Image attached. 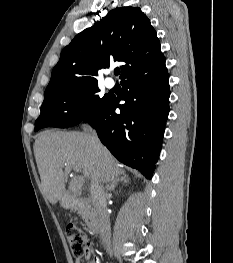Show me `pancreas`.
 I'll return each instance as SVG.
<instances>
[{
  "mask_svg": "<svg viewBox=\"0 0 233 263\" xmlns=\"http://www.w3.org/2000/svg\"><path fill=\"white\" fill-rule=\"evenodd\" d=\"M77 211H78V214H79L80 216H82V218L85 220V222H86L88 225H91V224H92V218H91L90 213H89L88 210L79 207V208H77Z\"/></svg>",
  "mask_w": 233,
  "mask_h": 263,
  "instance_id": "obj_1",
  "label": "pancreas"
}]
</instances>
